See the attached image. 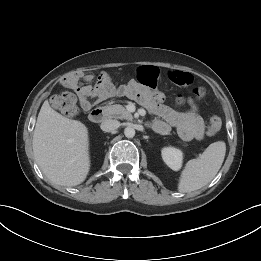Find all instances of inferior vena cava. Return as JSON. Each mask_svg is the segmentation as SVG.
I'll return each instance as SVG.
<instances>
[{
    "label": "inferior vena cava",
    "mask_w": 261,
    "mask_h": 261,
    "mask_svg": "<svg viewBox=\"0 0 261 261\" xmlns=\"http://www.w3.org/2000/svg\"><path fill=\"white\" fill-rule=\"evenodd\" d=\"M100 127L105 132H111L120 127V122L117 120L108 119L102 122Z\"/></svg>",
    "instance_id": "1"
}]
</instances>
